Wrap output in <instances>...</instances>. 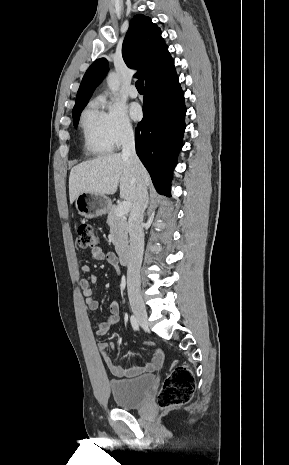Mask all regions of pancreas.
Instances as JSON below:
<instances>
[{
    "label": "pancreas",
    "mask_w": 289,
    "mask_h": 465,
    "mask_svg": "<svg viewBox=\"0 0 289 465\" xmlns=\"http://www.w3.org/2000/svg\"><path fill=\"white\" fill-rule=\"evenodd\" d=\"M117 206L109 209L107 224L110 227L112 243L117 253H120L128 246V223L125 216H118Z\"/></svg>",
    "instance_id": "obj_1"
}]
</instances>
